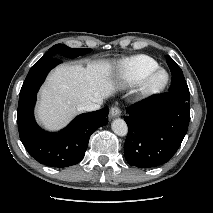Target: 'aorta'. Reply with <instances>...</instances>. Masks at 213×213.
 <instances>
[{
  "label": "aorta",
  "mask_w": 213,
  "mask_h": 213,
  "mask_svg": "<svg viewBox=\"0 0 213 213\" xmlns=\"http://www.w3.org/2000/svg\"><path fill=\"white\" fill-rule=\"evenodd\" d=\"M111 128L113 132L118 136H126L128 133V127L126 122L123 119H115L112 124Z\"/></svg>",
  "instance_id": "762f6f07"
}]
</instances>
